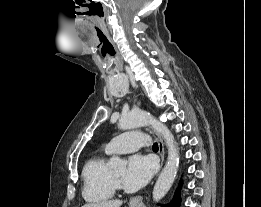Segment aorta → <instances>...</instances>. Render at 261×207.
Listing matches in <instances>:
<instances>
[{
    "label": "aorta",
    "instance_id": "1",
    "mask_svg": "<svg viewBox=\"0 0 261 207\" xmlns=\"http://www.w3.org/2000/svg\"><path fill=\"white\" fill-rule=\"evenodd\" d=\"M150 125L162 136L168 148V159L160 173L158 180L153 188V200H161L171 188L179 167V150L175 144L174 137L169 129L154 118L150 113L139 110L123 113L118 127L122 130ZM112 167L124 166L125 162L119 157H113L109 162Z\"/></svg>",
    "mask_w": 261,
    "mask_h": 207
}]
</instances>
